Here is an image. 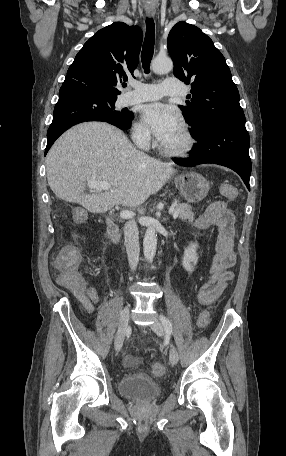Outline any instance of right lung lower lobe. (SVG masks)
Instances as JSON below:
<instances>
[{
	"label": "right lung lower lobe",
	"instance_id": "98d812e1",
	"mask_svg": "<svg viewBox=\"0 0 286 456\" xmlns=\"http://www.w3.org/2000/svg\"><path fill=\"white\" fill-rule=\"evenodd\" d=\"M105 101L106 99L97 93L82 86L62 85L59 91V100L54 108L53 121L47 131L45 155L64 131L81 122L102 121L122 130L128 129L133 117L128 123L105 118L100 112Z\"/></svg>",
	"mask_w": 286,
	"mask_h": 456
}]
</instances>
